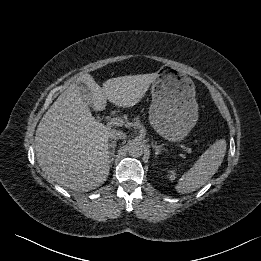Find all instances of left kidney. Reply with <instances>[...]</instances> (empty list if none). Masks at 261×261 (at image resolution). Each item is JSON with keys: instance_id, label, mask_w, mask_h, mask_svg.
<instances>
[{"instance_id": "left-kidney-1", "label": "left kidney", "mask_w": 261, "mask_h": 261, "mask_svg": "<svg viewBox=\"0 0 261 261\" xmlns=\"http://www.w3.org/2000/svg\"><path fill=\"white\" fill-rule=\"evenodd\" d=\"M168 172H169V174H168L169 179H170L171 181H173V180L176 178V173H175V171H174V170H170V171H168Z\"/></svg>"}]
</instances>
